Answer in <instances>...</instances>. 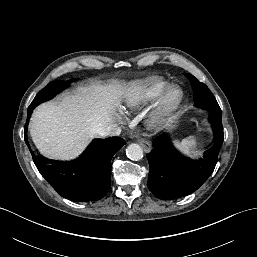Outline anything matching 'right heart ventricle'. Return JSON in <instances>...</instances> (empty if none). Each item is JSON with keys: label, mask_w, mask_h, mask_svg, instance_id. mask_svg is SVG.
<instances>
[{"label": "right heart ventricle", "mask_w": 257, "mask_h": 257, "mask_svg": "<svg viewBox=\"0 0 257 257\" xmlns=\"http://www.w3.org/2000/svg\"><path fill=\"white\" fill-rule=\"evenodd\" d=\"M167 83L160 78L150 77L138 83L126 95L125 108L131 111L139 110L156 99L166 88Z\"/></svg>", "instance_id": "right-heart-ventricle-1"}]
</instances>
